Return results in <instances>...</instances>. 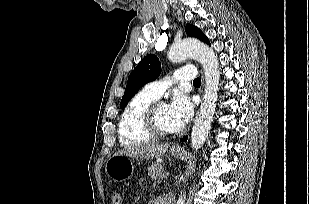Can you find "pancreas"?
Instances as JSON below:
<instances>
[{
  "label": "pancreas",
  "instance_id": "1",
  "mask_svg": "<svg viewBox=\"0 0 309 204\" xmlns=\"http://www.w3.org/2000/svg\"><path fill=\"white\" fill-rule=\"evenodd\" d=\"M164 170L162 165L160 164H152L149 168H148V175L154 179V180H160L163 179L165 177L164 175Z\"/></svg>",
  "mask_w": 309,
  "mask_h": 204
}]
</instances>
